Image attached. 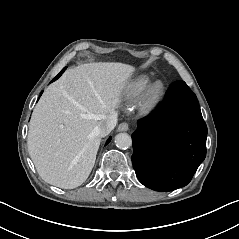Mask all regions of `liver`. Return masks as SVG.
<instances>
[{
    "label": "liver",
    "mask_w": 239,
    "mask_h": 239,
    "mask_svg": "<svg viewBox=\"0 0 239 239\" xmlns=\"http://www.w3.org/2000/svg\"><path fill=\"white\" fill-rule=\"evenodd\" d=\"M134 71L123 63L81 64L45 89L27 137L29 155L45 182L73 189L86 181L101 142L96 131L116 113Z\"/></svg>",
    "instance_id": "obj_1"
}]
</instances>
